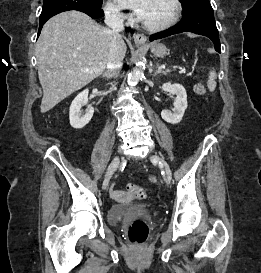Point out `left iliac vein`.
Returning <instances> with one entry per match:
<instances>
[{
  "label": "left iliac vein",
  "mask_w": 261,
  "mask_h": 273,
  "mask_svg": "<svg viewBox=\"0 0 261 273\" xmlns=\"http://www.w3.org/2000/svg\"><path fill=\"white\" fill-rule=\"evenodd\" d=\"M150 160L154 163H158L165 178L170 181L172 179V173L167 162L158 155H151Z\"/></svg>",
  "instance_id": "1"
}]
</instances>
